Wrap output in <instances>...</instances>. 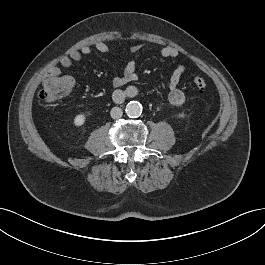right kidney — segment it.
Masks as SVG:
<instances>
[{
  "mask_svg": "<svg viewBox=\"0 0 265 265\" xmlns=\"http://www.w3.org/2000/svg\"><path fill=\"white\" fill-rule=\"evenodd\" d=\"M85 120H86V117L84 114L76 115L74 118V124L77 127L82 126L85 123Z\"/></svg>",
  "mask_w": 265,
  "mask_h": 265,
  "instance_id": "obj_1",
  "label": "right kidney"
}]
</instances>
